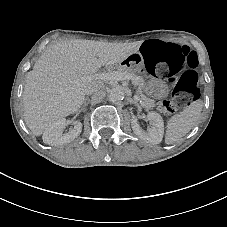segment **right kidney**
<instances>
[{
	"label": "right kidney",
	"instance_id": "right-kidney-1",
	"mask_svg": "<svg viewBox=\"0 0 227 227\" xmlns=\"http://www.w3.org/2000/svg\"><path fill=\"white\" fill-rule=\"evenodd\" d=\"M66 122L67 119L61 117L50 124L43 131L42 141L50 146H57L70 143L76 139L82 131V124L80 122L74 124L68 132L63 134V128L66 126Z\"/></svg>",
	"mask_w": 227,
	"mask_h": 227
}]
</instances>
